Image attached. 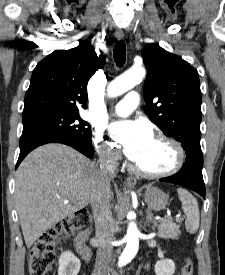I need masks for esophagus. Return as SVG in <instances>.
I'll list each match as a JSON object with an SVG mask.
<instances>
[{
	"instance_id": "1",
	"label": "esophagus",
	"mask_w": 225,
	"mask_h": 275,
	"mask_svg": "<svg viewBox=\"0 0 225 275\" xmlns=\"http://www.w3.org/2000/svg\"><path fill=\"white\" fill-rule=\"evenodd\" d=\"M115 36L118 40H122L124 38V33L122 29L120 28L116 29ZM136 183H137V180L134 177H128L126 180V184L130 188H133L136 185Z\"/></svg>"
}]
</instances>
